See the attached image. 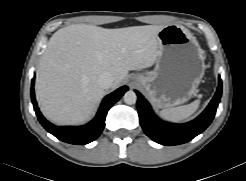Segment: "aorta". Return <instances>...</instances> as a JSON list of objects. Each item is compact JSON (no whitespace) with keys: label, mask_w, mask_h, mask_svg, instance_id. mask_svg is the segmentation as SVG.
Listing matches in <instances>:
<instances>
[{"label":"aorta","mask_w":246,"mask_h":181,"mask_svg":"<svg viewBox=\"0 0 246 181\" xmlns=\"http://www.w3.org/2000/svg\"><path fill=\"white\" fill-rule=\"evenodd\" d=\"M123 98H124V102H125L126 104H128V105H133V104H135L136 101H137V95H136V93H135L134 91H132V90L127 91V92L124 94Z\"/></svg>","instance_id":"762f6f07"}]
</instances>
